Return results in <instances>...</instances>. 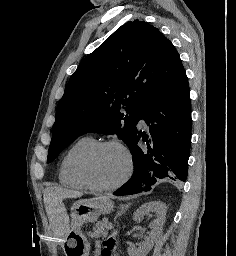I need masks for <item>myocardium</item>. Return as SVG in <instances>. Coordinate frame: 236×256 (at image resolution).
<instances>
[{
  "label": "myocardium",
  "mask_w": 236,
  "mask_h": 256,
  "mask_svg": "<svg viewBox=\"0 0 236 256\" xmlns=\"http://www.w3.org/2000/svg\"><path fill=\"white\" fill-rule=\"evenodd\" d=\"M107 147H116L122 151L126 158V171L123 177L116 184L109 187H99L96 186L90 179L89 176V164L92 158L98 154L101 150ZM134 170V161L133 156L127 146L117 140H106L95 143V145L82 157L80 166H79V175L82 183L87 189L92 192L105 194L112 193L123 187L132 177Z\"/></svg>",
  "instance_id": "obj_1"
}]
</instances>
